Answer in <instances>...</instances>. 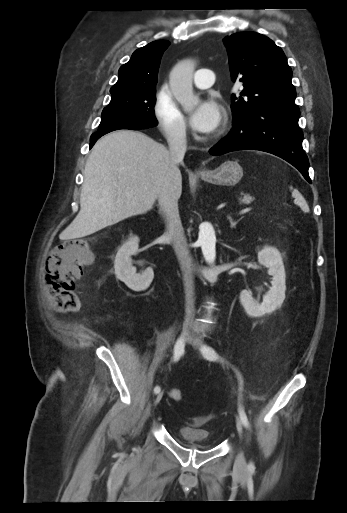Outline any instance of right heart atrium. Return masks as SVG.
I'll return each instance as SVG.
<instances>
[{"label":"right heart atrium","instance_id":"1","mask_svg":"<svg viewBox=\"0 0 347 513\" xmlns=\"http://www.w3.org/2000/svg\"><path fill=\"white\" fill-rule=\"evenodd\" d=\"M152 112L159 130L168 141L179 143L186 140L188 126L185 116L167 84H162L156 91Z\"/></svg>","mask_w":347,"mask_h":513}]
</instances>
